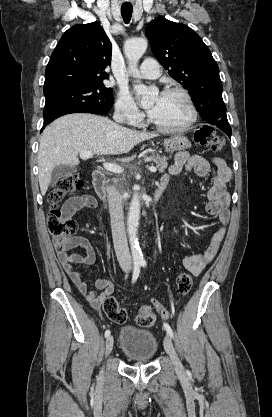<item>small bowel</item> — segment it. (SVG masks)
Here are the masks:
<instances>
[{"instance_id": "small-bowel-1", "label": "small bowel", "mask_w": 272, "mask_h": 417, "mask_svg": "<svg viewBox=\"0 0 272 417\" xmlns=\"http://www.w3.org/2000/svg\"><path fill=\"white\" fill-rule=\"evenodd\" d=\"M216 166L213 174V181L207 193L206 212L218 219V226L212 235L208 247L203 253L195 254L184 258L183 266L192 275L198 276L216 257L226 234V226L230 220L229 201L230 197L226 191V185L231 177L230 169L225 161L215 157L206 159L200 155H190L187 152H179L175 155L174 161L163 175L161 181L168 182L169 175H179L183 170L193 172L204 178L209 175L211 166ZM96 199L89 194H80L69 198L62 207V213L66 218H71L82 208H96ZM80 247L85 250L84 255L69 254L66 250H60L58 258L65 272L79 292L85 297L93 308H100L104 300L113 294L115 284L112 280L97 278L94 281L95 289H92L84 280L82 273L77 271L74 264L91 265L96 260L95 250L87 238L76 236L69 240L66 248ZM100 291V293H98Z\"/></svg>"}]
</instances>
